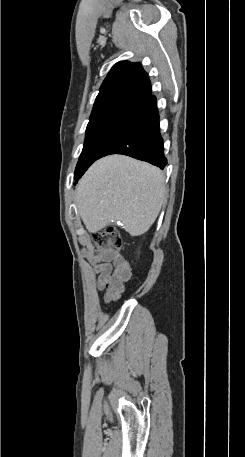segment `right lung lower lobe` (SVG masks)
I'll return each instance as SVG.
<instances>
[{"label":"right lung lower lobe","instance_id":"right-lung-lower-lobe-1","mask_svg":"<svg viewBox=\"0 0 245 457\" xmlns=\"http://www.w3.org/2000/svg\"><path fill=\"white\" fill-rule=\"evenodd\" d=\"M159 126L156 98L150 95L129 111L97 159L109 154H123L163 169L167 160Z\"/></svg>","mask_w":245,"mask_h":457}]
</instances>
